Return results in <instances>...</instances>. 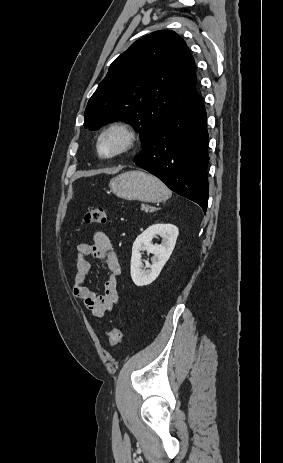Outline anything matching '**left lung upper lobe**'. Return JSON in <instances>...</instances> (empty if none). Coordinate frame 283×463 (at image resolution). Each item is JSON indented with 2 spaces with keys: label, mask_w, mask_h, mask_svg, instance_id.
<instances>
[{
  "label": "left lung upper lobe",
  "mask_w": 283,
  "mask_h": 463,
  "mask_svg": "<svg viewBox=\"0 0 283 463\" xmlns=\"http://www.w3.org/2000/svg\"><path fill=\"white\" fill-rule=\"evenodd\" d=\"M196 94L195 61L186 43L173 31H156L112 62L88 101L84 127L126 120L141 133L144 146Z\"/></svg>",
  "instance_id": "obj_1"
}]
</instances>
